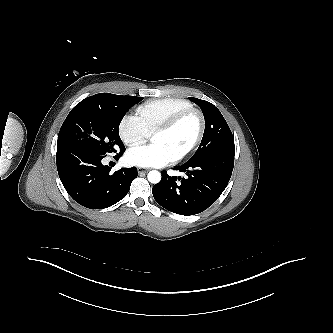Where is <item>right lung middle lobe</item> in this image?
Here are the masks:
<instances>
[{
	"label": "right lung middle lobe",
	"instance_id": "obj_1",
	"mask_svg": "<svg viewBox=\"0 0 333 333\" xmlns=\"http://www.w3.org/2000/svg\"><path fill=\"white\" fill-rule=\"evenodd\" d=\"M142 97L106 93L100 99L86 98L68 114L58 135L57 149L85 150L105 157L124 151L118 128L126 112Z\"/></svg>",
	"mask_w": 333,
	"mask_h": 333
}]
</instances>
